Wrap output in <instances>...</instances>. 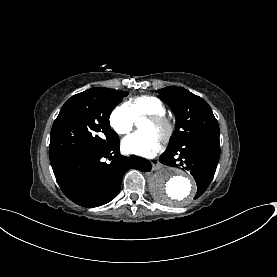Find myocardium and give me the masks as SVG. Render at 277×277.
Wrapping results in <instances>:
<instances>
[{"label":"myocardium","instance_id":"myocardium-1","mask_svg":"<svg viewBox=\"0 0 277 277\" xmlns=\"http://www.w3.org/2000/svg\"><path fill=\"white\" fill-rule=\"evenodd\" d=\"M147 117L162 127V132L159 135L160 139L168 140L172 136L174 131V125L166 115L151 112L147 114Z\"/></svg>","mask_w":277,"mask_h":277}]
</instances>
